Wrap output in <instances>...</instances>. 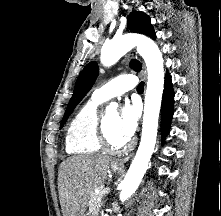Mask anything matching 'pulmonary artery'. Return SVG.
Instances as JSON below:
<instances>
[{
    "instance_id": "pulmonary-artery-1",
    "label": "pulmonary artery",
    "mask_w": 221,
    "mask_h": 216,
    "mask_svg": "<svg viewBox=\"0 0 221 216\" xmlns=\"http://www.w3.org/2000/svg\"><path fill=\"white\" fill-rule=\"evenodd\" d=\"M137 85V79L131 74L120 75L101 87L94 90L92 99L97 102H106L110 99L123 95Z\"/></svg>"
}]
</instances>
